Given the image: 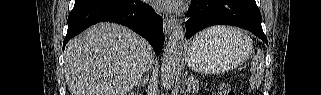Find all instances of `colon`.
<instances>
[{"mask_svg": "<svg viewBox=\"0 0 321 95\" xmlns=\"http://www.w3.org/2000/svg\"><path fill=\"white\" fill-rule=\"evenodd\" d=\"M221 95H235L234 90L227 84H224L220 88Z\"/></svg>", "mask_w": 321, "mask_h": 95, "instance_id": "5ec220e1", "label": "colon"}]
</instances>
